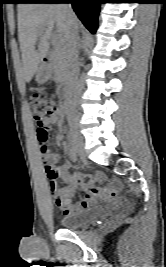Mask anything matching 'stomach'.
Listing matches in <instances>:
<instances>
[{
	"mask_svg": "<svg viewBox=\"0 0 166 267\" xmlns=\"http://www.w3.org/2000/svg\"><path fill=\"white\" fill-rule=\"evenodd\" d=\"M51 77V69L47 65H41L35 74V81L39 84L46 83Z\"/></svg>",
	"mask_w": 166,
	"mask_h": 267,
	"instance_id": "0dacf381",
	"label": "stomach"
}]
</instances>
